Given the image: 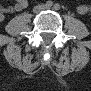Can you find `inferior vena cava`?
<instances>
[{"mask_svg":"<svg viewBox=\"0 0 91 91\" xmlns=\"http://www.w3.org/2000/svg\"><path fill=\"white\" fill-rule=\"evenodd\" d=\"M42 9H44V8H43V7H42V8H39L38 11H40V10H42Z\"/></svg>","mask_w":91,"mask_h":91,"instance_id":"inferior-vena-cava-1","label":"inferior vena cava"}]
</instances>
